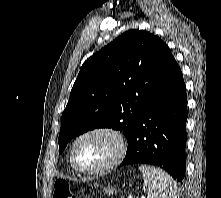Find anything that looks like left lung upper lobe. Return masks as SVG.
Listing matches in <instances>:
<instances>
[{"mask_svg":"<svg viewBox=\"0 0 221 198\" xmlns=\"http://www.w3.org/2000/svg\"><path fill=\"white\" fill-rule=\"evenodd\" d=\"M173 60L160 38L138 29L123 33L88 58L61 117L59 153L72 138L95 128L120 130L129 140Z\"/></svg>","mask_w":221,"mask_h":198,"instance_id":"1","label":"left lung upper lobe"}]
</instances>
